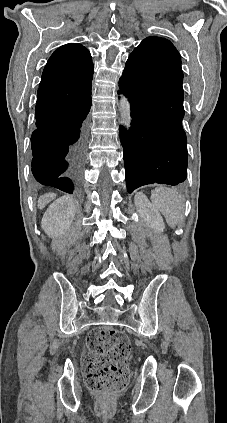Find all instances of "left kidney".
Instances as JSON below:
<instances>
[{
    "instance_id": "5707ae66",
    "label": "left kidney",
    "mask_w": 227,
    "mask_h": 423,
    "mask_svg": "<svg viewBox=\"0 0 227 423\" xmlns=\"http://www.w3.org/2000/svg\"><path fill=\"white\" fill-rule=\"evenodd\" d=\"M135 206H137L140 217H142L143 221H146L148 227H152L157 233L164 231L165 225L162 215L141 192H138L135 196Z\"/></svg>"
}]
</instances>
